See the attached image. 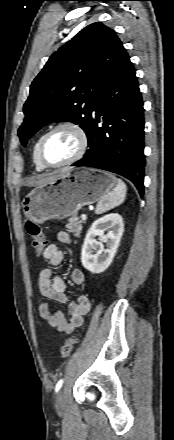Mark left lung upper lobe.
I'll use <instances>...</instances> for the list:
<instances>
[{
  "instance_id": "5c2ea615",
  "label": "left lung upper lobe",
  "mask_w": 174,
  "mask_h": 440,
  "mask_svg": "<svg viewBox=\"0 0 174 440\" xmlns=\"http://www.w3.org/2000/svg\"><path fill=\"white\" fill-rule=\"evenodd\" d=\"M123 51L114 30L96 22L54 52L30 86L18 130L22 145L54 121L79 124L87 132L92 105Z\"/></svg>"
}]
</instances>
